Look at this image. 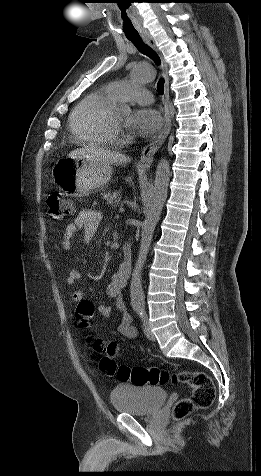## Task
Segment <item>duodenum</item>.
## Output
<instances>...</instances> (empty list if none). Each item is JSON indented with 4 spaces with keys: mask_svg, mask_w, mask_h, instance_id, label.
<instances>
[{
    "mask_svg": "<svg viewBox=\"0 0 261 476\" xmlns=\"http://www.w3.org/2000/svg\"><path fill=\"white\" fill-rule=\"evenodd\" d=\"M132 261H133V252L131 245L128 243H125L123 245V262L121 264L122 268L130 274L131 267H132Z\"/></svg>",
    "mask_w": 261,
    "mask_h": 476,
    "instance_id": "1",
    "label": "duodenum"
}]
</instances>
